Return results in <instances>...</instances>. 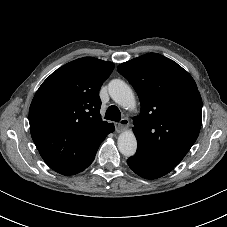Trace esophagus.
I'll return each mask as SVG.
<instances>
[{
    "mask_svg": "<svg viewBox=\"0 0 227 227\" xmlns=\"http://www.w3.org/2000/svg\"><path fill=\"white\" fill-rule=\"evenodd\" d=\"M129 126V120L127 118L121 119L120 122L116 123L115 129L117 132H122Z\"/></svg>",
    "mask_w": 227,
    "mask_h": 227,
    "instance_id": "obj_1",
    "label": "esophagus"
}]
</instances>
